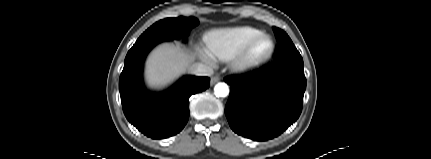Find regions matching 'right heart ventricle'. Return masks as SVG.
Returning a JSON list of instances; mask_svg holds the SVG:
<instances>
[{
	"instance_id": "1",
	"label": "right heart ventricle",
	"mask_w": 431,
	"mask_h": 159,
	"mask_svg": "<svg viewBox=\"0 0 431 159\" xmlns=\"http://www.w3.org/2000/svg\"><path fill=\"white\" fill-rule=\"evenodd\" d=\"M261 32V30L251 26L215 29L205 35V43L214 57L227 60L248 40Z\"/></svg>"
}]
</instances>
